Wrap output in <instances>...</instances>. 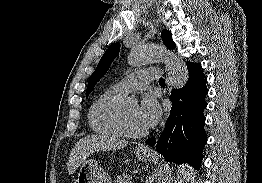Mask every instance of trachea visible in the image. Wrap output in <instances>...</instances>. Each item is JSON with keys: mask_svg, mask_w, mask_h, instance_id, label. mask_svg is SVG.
I'll return each mask as SVG.
<instances>
[{"mask_svg": "<svg viewBox=\"0 0 262 183\" xmlns=\"http://www.w3.org/2000/svg\"><path fill=\"white\" fill-rule=\"evenodd\" d=\"M159 84L160 85H165V79L164 78H160L159 79Z\"/></svg>", "mask_w": 262, "mask_h": 183, "instance_id": "obj_1", "label": "trachea"}]
</instances>
